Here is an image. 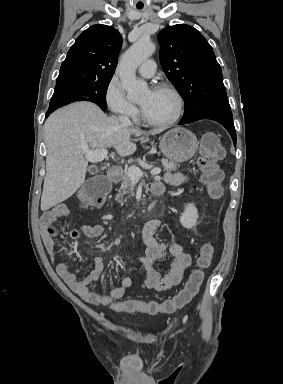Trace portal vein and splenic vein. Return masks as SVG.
I'll use <instances>...</instances> for the list:
<instances>
[{
    "label": "portal vein and splenic vein",
    "instance_id": "18ae733b",
    "mask_svg": "<svg viewBox=\"0 0 283 384\" xmlns=\"http://www.w3.org/2000/svg\"><path fill=\"white\" fill-rule=\"evenodd\" d=\"M107 154L108 150H105V148L104 150H86L85 158L88 160V162L96 164V162H102V160L106 158ZM160 172V168H153V170H151L152 176H158ZM127 174L132 182H139L140 178L143 176V172H141L139 168H136V166H130V168H128Z\"/></svg>",
    "mask_w": 283,
    "mask_h": 384
}]
</instances>
